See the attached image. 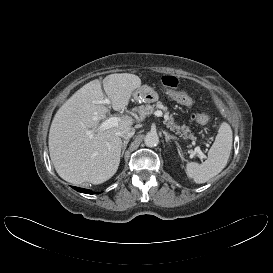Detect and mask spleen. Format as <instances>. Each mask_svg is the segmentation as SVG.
<instances>
[{
  "label": "spleen",
  "mask_w": 273,
  "mask_h": 273,
  "mask_svg": "<svg viewBox=\"0 0 273 273\" xmlns=\"http://www.w3.org/2000/svg\"><path fill=\"white\" fill-rule=\"evenodd\" d=\"M233 134L228 123L220 125L215 141L208 152V158L203 163L188 162L186 173L195 183H205L219 174L227 165L232 149Z\"/></svg>",
  "instance_id": "3e777b00"
}]
</instances>
